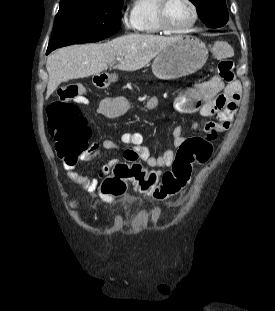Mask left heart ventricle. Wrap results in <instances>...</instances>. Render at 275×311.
I'll return each mask as SVG.
<instances>
[{
    "instance_id": "1",
    "label": "left heart ventricle",
    "mask_w": 275,
    "mask_h": 311,
    "mask_svg": "<svg viewBox=\"0 0 275 311\" xmlns=\"http://www.w3.org/2000/svg\"><path fill=\"white\" fill-rule=\"evenodd\" d=\"M192 9L186 0H171L167 9V21L174 29L188 25L192 20Z\"/></svg>"
}]
</instances>
